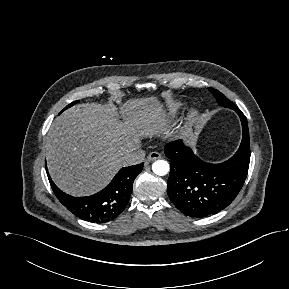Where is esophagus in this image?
<instances>
[{"label": "esophagus", "instance_id": "34e87169", "mask_svg": "<svg viewBox=\"0 0 289 289\" xmlns=\"http://www.w3.org/2000/svg\"><path fill=\"white\" fill-rule=\"evenodd\" d=\"M161 158V154L158 152H151L148 155V161H154Z\"/></svg>", "mask_w": 289, "mask_h": 289}]
</instances>
